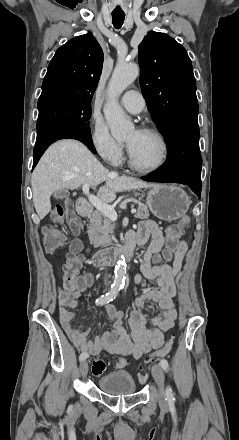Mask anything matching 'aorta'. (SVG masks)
<instances>
[{
    "mask_svg": "<svg viewBox=\"0 0 239 440\" xmlns=\"http://www.w3.org/2000/svg\"><path fill=\"white\" fill-rule=\"evenodd\" d=\"M137 76H139V68L136 64H127V62H120L118 60L108 84V102L105 104L103 112L110 132L118 142L119 140H125L128 134L135 130L130 118L126 116L123 108L119 106L118 96L136 80ZM126 268L125 258L120 256L114 270L115 286H123L126 280Z\"/></svg>",
    "mask_w": 239,
    "mask_h": 440,
    "instance_id": "1",
    "label": "aorta"
}]
</instances>
